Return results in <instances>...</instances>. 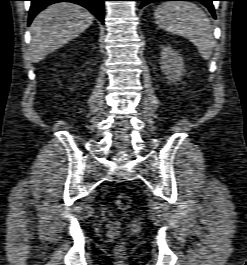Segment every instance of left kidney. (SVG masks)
I'll list each match as a JSON object with an SVG mask.
<instances>
[{
  "label": "left kidney",
  "instance_id": "left-kidney-1",
  "mask_svg": "<svg viewBox=\"0 0 247 265\" xmlns=\"http://www.w3.org/2000/svg\"><path fill=\"white\" fill-rule=\"evenodd\" d=\"M161 69L170 81H179L185 72L181 55L169 45L161 48Z\"/></svg>",
  "mask_w": 247,
  "mask_h": 265
}]
</instances>
